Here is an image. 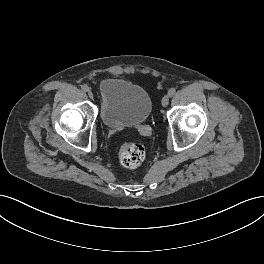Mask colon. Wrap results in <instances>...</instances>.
<instances>
[{"instance_id":"1","label":"colon","mask_w":264,"mask_h":264,"mask_svg":"<svg viewBox=\"0 0 264 264\" xmlns=\"http://www.w3.org/2000/svg\"><path fill=\"white\" fill-rule=\"evenodd\" d=\"M145 149L138 143L123 144L118 153L119 161L122 166L135 169L141 166L145 160Z\"/></svg>"}]
</instances>
